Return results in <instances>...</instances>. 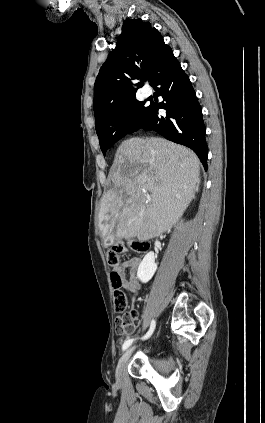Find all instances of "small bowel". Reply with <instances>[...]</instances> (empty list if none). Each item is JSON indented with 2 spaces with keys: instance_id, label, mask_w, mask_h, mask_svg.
<instances>
[{
  "instance_id": "small-bowel-1",
  "label": "small bowel",
  "mask_w": 265,
  "mask_h": 423,
  "mask_svg": "<svg viewBox=\"0 0 265 423\" xmlns=\"http://www.w3.org/2000/svg\"><path fill=\"white\" fill-rule=\"evenodd\" d=\"M139 265L140 259L133 257L121 262L114 268L115 273L118 274L121 280L122 287L128 292L133 300L141 288L140 281L137 277ZM136 328L137 324L134 322L133 330L129 333H124L126 338H129V336L135 332Z\"/></svg>"
}]
</instances>
